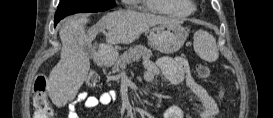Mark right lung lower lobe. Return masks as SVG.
<instances>
[{
  "instance_id": "1",
  "label": "right lung lower lobe",
  "mask_w": 273,
  "mask_h": 118,
  "mask_svg": "<svg viewBox=\"0 0 273 118\" xmlns=\"http://www.w3.org/2000/svg\"><path fill=\"white\" fill-rule=\"evenodd\" d=\"M66 16H67V15H66ZM64 17H65L64 15L55 14L54 26H56L57 23H58L62 18H64Z\"/></svg>"
}]
</instances>
